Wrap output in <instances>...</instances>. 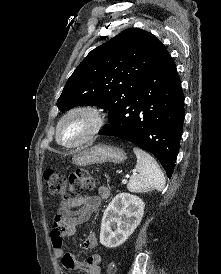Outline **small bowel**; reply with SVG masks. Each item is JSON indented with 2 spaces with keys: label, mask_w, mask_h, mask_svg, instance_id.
Here are the masks:
<instances>
[{
  "label": "small bowel",
  "mask_w": 221,
  "mask_h": 274,
  "mask_svg": "<svg viewBox=\"0 0 221 274\" xmlns=\"http://www.w3.org/2000/svg\"><path fill=\"white\" fill-rule=\"evenodd\" d=\"M110 197L107 187L99 189V195H87L77 198L71 202H62L53 218V229L51 231V242L56 258L66 270H80L86 274H101V256L98 253L91 254L85 261L78 260L73 254L63 249L64 238L72 236L78 225L89 219L101 205L103 200ZM84 247L93 250L97 247V237L94 233L84 239Z\"/></svg>",
  "instance_id": "obj_1"
}]
</instances>
